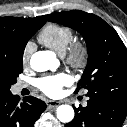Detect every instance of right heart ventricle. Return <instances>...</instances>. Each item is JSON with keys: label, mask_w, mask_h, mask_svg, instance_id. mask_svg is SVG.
<instances>
[{"label": "right heart ventricle", "mask_w": 127, "mask_h": 127, "mask_svg": "<svg viewBox=\"0 0 127 127\" xmlns=\"http://www.w3.org/2000/svg\"><path fill=\"white\" fill-rule=\"evenodd\" d=\"M73 38L72 28L55 23L44 26L38 35L40 43L54 50L59 55L65 54Z\"/></svg>", "instance_id": "obj_1"}]
</instances>
